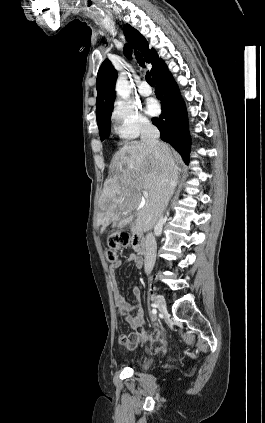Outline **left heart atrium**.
<instances>
[{
	"label": "left heart atrium",
	"instance_id": "left-heart-atrium-1",
	"mask_svg": "<svg viewBox=\"0 0 265 423\" xmlns=\"http://www.w3.org/2000/svg\"><path fill=\"white\" fill-rule=\"evenodd\" d=\"M146 111L148 114L155 116L159 113L160 107L157 101L150 99L146 104Z\"/></svg>",
	"mask_w": 265,
	"mask_h": 423
}]
</instances>
